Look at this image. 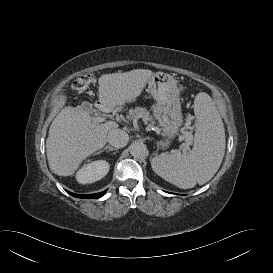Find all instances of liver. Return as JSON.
<instances>
[{
  "label": "liver",
  "instance_id": "liver-1",
  "mask_svg": "<svg viewBox=\"0 0 273 273\" xmlns=\"http://www.w3.org/2000/svg\"><path fill=\"white\" fill-rule=\"evenodd\" d=\"M151 70L135 69L105 74L99 78V108L110 110L134 102L142 93ZM115 122H96L82 106H66L55 117L46 140L50 170L59 176H70L88 156L103 148Z\"/></svg>",
  "mask_w": 273,
  "mask_h": 273
}]
</instances>
